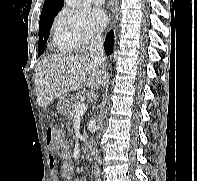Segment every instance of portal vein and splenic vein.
I'll return each instance as SVG.
<instances>
[{"label":"portal vein and splenic vein","instance_id":"portal-vein-and-splenic-vein-1","mask_svg":"<svg viewBox=\"0 0 197 181\" xmlns=\"http://www.w3.org/2000/svg\"><path fill=\"white\" fill-rule=\"evenodd\" d=\"M87 110V105L85 103L81 104L77 111H76V116H82Z\"/></svg>","mask_w":197,"mask_h":181}]
</instances>
